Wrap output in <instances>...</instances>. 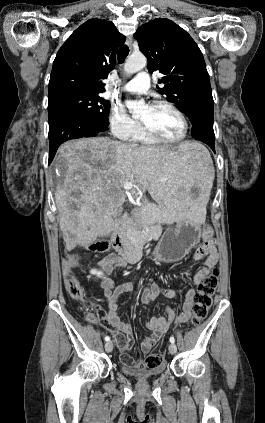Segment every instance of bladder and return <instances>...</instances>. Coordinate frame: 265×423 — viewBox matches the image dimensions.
Here are the masks:
<instances>
[{
	"label": "bladder",
	"instance_id": "obj_1",
	"mask_svg": "<svg viewBox=\"0 0 265 423\" xmlns=\"http://www.w3.org/2000/svg\"><path fill=\"white\" fill-rule=\"evenodd\" d=\"M120 368L124 374L135 377V378L155 377L160 375L164 371V368H160V367L143 369V368L128 367L124 364H121Z\"/></svg>",
	"mask_w": 265,
	"mask_h": 423
}]
</instances>
